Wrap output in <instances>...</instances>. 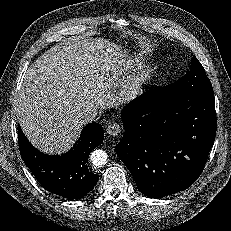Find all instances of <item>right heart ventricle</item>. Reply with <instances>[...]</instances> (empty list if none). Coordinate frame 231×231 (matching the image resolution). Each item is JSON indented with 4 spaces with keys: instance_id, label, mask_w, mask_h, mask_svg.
<instances>
[{
    "instance_id": "e07e8e85",
    "label": "right heart ventricle",
    "mask_w": 231,
    "mask_h": 231,
    "mask_svg": "<svg viewBox=\"0 0 231 231\" xmlns=\"http://www.w3.org/2000/svg\"><path fill=\"white\" fill-rule=\"evenodd\" d=\"M129 65H131L132 67H136L138 65V63H137V61L132 60Z\"/></svg>"
}]
</instances>
